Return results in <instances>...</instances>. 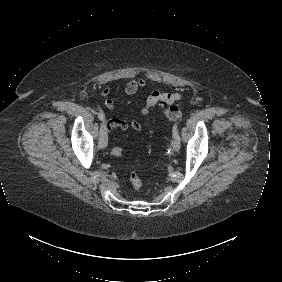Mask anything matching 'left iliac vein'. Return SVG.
I'll use <instances>...</instances> for the list:
<instances>
[{
	"instance_id": "4c4485c4",
	"label": "left iliac vein",
	"mask_w": 282,
	"mask_h": 282,
	"mask_svg": "<svg viewBox=\"0 0 282 282\" xmlns=\"http://www.w3.org/2000/svg\"><path fill=\"white\" fill-rule=\"evenodd\" d=\"M180 140L179 138H176L174 137L173 140H172V147H173V150L175 152H178L180 150Z\"/></svg>"
}]
</instances>
